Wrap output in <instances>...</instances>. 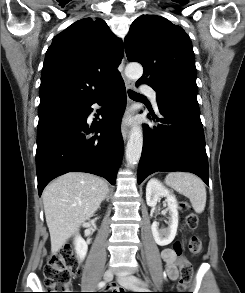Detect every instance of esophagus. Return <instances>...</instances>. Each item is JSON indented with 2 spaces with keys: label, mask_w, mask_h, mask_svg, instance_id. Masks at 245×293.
Masks as SVG:
<instances>
[{
  "label": "esophagus",
  "mask_w": 245,
  "mask_h": 293,
  "mask_svg": "<svg viewBox=\"0 0 245 293\" xmlns=\"http://www.w3.org/2000/svg\"><path fill=\"white\" fill-rule=\"evenodd\" d=\"M124 63H125V59H123V60H122V63H121V74H122V77H123V79H124V82H125V86H126V88H127L128 90H130V89H132V88L134 87V83H133L131 80H129V79H127V78L125 77V75H124V71H123ZM129 103H130V102H129ZM129 103H128V107H127V109L129 108ZM129 133H130V131H129V127L124 125L123 128H122V137H123V140H124V141H126V140L128 139V137H129Z\"/></svg>",
  "instance_id": "34e87169"
}]
</instances>
